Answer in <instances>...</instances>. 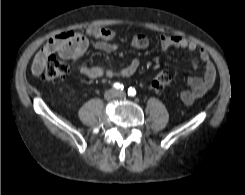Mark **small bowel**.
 Returning <instances> with one entry per match:
<instances>
[{
    "instance_id": "1",
    "label": "small bowel",
    "mask_w": 245,
    "mask_h": 195,
    "mask_svg": "<svg viewBox=\"0 0 245 195\" xmlns=\"http://www.w3.org/2000/svg\"><path fill=\"white\" fill-rule=\"evenodd\" d=\"M115 37V32L104 27H90L83 32L66 31L51 38L45 46L35 55L32 63V73L40 75L47 58L51 54L58 53L60 57L71 59L76 63L86 52L89 41L96 40L95 47L98 50L105 52H113L118 49V45L112 41ZM160 44L163 50L170 49H185L189 53H194L198 50V45L184 37L178 35L165 34L160 38ZM149 45V40L145 34L135 35L131 39V46L136 49H144ZM199 59L204 68L203 76L189 77L187 82L188 89H185L180 94V100L183 104L189 105L196 99L202 97L213 86L216 79V68L210 59L208 52L200 48ZM139 60L132 58L129 63L120 70H114L107 66H86L79 65V72L91 79L101 77H129L133 75L138 67ZM194 69L199 68V63L192 60Z\"/></svg>"
}]
</instances>
